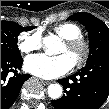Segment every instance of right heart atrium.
<instances>
[{
  "label": "right heart atrium",
  "instance_id": "obj_1",
  "mask_svg": "<svg viewBox=\"0 0 109 109\" xmlns=\"http://www.w3.org/2000/svg\"><path fill=\"white\" fill-rule=\"evenodd\" d=\"M42 46V35L39 31L22 32L18 36V48L22 53H30L40 49Z\"/></svg>",
  "mask_w": 109,
  "mask_h": 109
}]
</instances>
